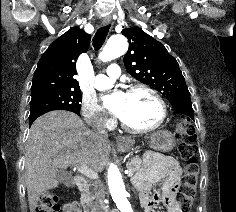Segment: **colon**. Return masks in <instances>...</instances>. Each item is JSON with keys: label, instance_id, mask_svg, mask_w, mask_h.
Masks as SVG:
<instances>
[{"label": "colon", "instance_id": "5ec220e1", "mask_svg": "<svg viewBox=\"0 0 236 212\" xmlns=\"http://www.w3.org/2000/svg\"><path fill=\"white\" fill-rule=\"evenodd\" d=\"M176 136L185 139L179 145V154L186 161L182 185L177 194V200L181 205V212H190L197 197V185L199 167L197 163L195 135L191 121L188 118H181L176 128ZM36 212H60L58 197L53 192H44L40 196Z\"/></svg>", "mask_w": 236, "mask_h": 212}]
</instances>
